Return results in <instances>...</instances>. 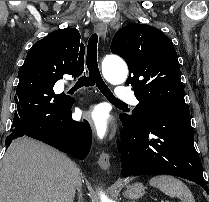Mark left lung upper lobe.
Segmentation results:
<instances>
[{"label": "left lung upper lobe", "mask_w": 209, "mask_h": 202, "mask_svg": "<svg viewBox=\"0 0 209 202\" xmlns=\"http://www.w3.org/2000/svg\"><path fill=\"white\" fill-rule=\"evenodd\" d=\"M111 51L126 61L129 68L126 84L134 87L140 102L132 115L120 117L136 121L146 109L190 114L176 50L162 31L147 24L130 23L115 33Z\"/></svg>", "instance_id": "5c2ea615"}]
</instances>
